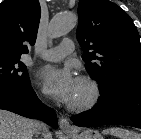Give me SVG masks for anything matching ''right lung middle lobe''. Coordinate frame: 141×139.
Listing matches in <instances>:
<instances>
[{"label": "right lung middle lobe", "instance_id": "obj_1", "mask_svg": "<svg viewBox=\"0 0 141 139\" xmlns=\"http://www.w3.org/2000/svg\"><path fill=\"white\" fill-rule=\"evenodd\" d=\"M28 85L30 79L20 57H0V88H19Z\"/></svg>", "mask_w": 141, "mask_h": 139}]
</instances>
